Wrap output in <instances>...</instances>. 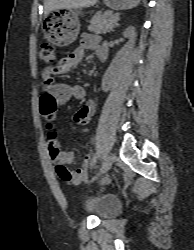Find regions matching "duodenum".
Masks as SVG:
<instances>
[{
  "mask_svg": "<svg viewBox=\"0 0 194 250\" xmlns=\"http://www.w3.org/2000/svg\"><path fill=\"white\" fill-rule=\"evenodd\" d=\"M101 60H102V61H105V60H106V56H105V55H102V56H101Z\"/></svg>",
  "mask_w": 194,
  "mask_h": 250,
  "instance_id": "410a0bca",
  "label": "duodenum"
}]
</instances>
